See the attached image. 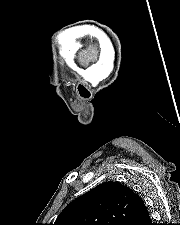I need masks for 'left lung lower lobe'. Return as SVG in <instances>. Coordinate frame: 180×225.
Here are the masks:
<instances>
[{"instance_id": "1", "label": "left lung lower lobe", "mask_w": 180, "mask_h": 225, "mask_svg": "<svg viewBox=\"0 0 180 225\" xmlns=\"http://www.w3.org/2000/svg\"><path fill=\"white\" fill-rule=\"evenodd\" d=\"M128 225H153L147 209L132 219Z\"/></svg>"}]
</instances>
